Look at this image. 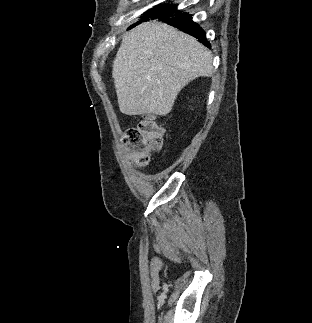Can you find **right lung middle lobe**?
Listing matches in <instances>:
<instances>
[{"label": "right lung middle lobe", "mask_w": 312, "mask_h": 323, "mask_svg": "<svg viewBox=\"0 0 312 323\" xmlns=\"http://www.w3.org/2000/svg\"><path fill=\"white\" fill-rule=\"evenodd\" d=\"M177 12L178 10L176 5H157L154 8L148 10L144 14L143 20H140L132 27L136 26L138 23H141L142 21H148L149 19H160L164 16H169Z\"/></svg>", "instance_id": "obj_1"}]
</instances>
